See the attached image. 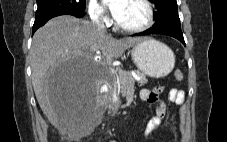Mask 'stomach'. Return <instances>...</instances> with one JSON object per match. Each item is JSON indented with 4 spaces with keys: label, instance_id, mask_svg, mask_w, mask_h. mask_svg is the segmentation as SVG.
Listing matches in <instances>:
<instances>
[{
    "label": "stomach",
    "instance_id": "1",
    "mask_svg": "<svg viewBox=\"0 0 227 142\" xmlns=\"http://www.w3.org/2000/svg\"><path fill=\"white\" fill-rule=\"evenodd\" d=\"M131 56L136 67L152 78L167 76L174 68L175 55L165 44L145 39L133 46Z\"/></svg>",
    "mask_w": 227,
    "mask_h": 142
}]
</instances>
